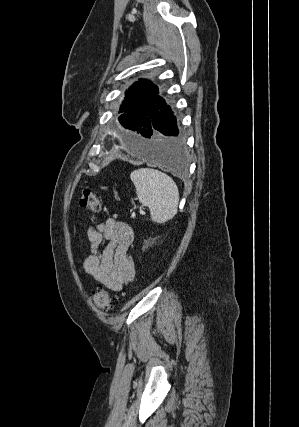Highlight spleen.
I'll return each instance as SVG.
<instances>
[{
    "label": "spleen",
    "mask_w": 299,
    "mask_h": 427,
    "mask_svg": "<svg viewBox=\"0 0 299 427\" xmlns=\"http://www.w3.org/2000/svg\"><path fill=\"white\" fill-rule=\"evenodd\" d=\"M130 178L139 201L149 208L153 222L161 224L175 216L179 191L171 177L159 170L141 168L134 170Z\"/></svg>",
    "instance_id": "1"
}]
</instances>
